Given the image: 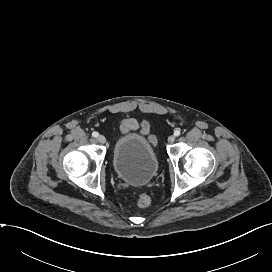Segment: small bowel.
<instances>
[{
    "instance_id": "small-bowel-1",
    "label": "small bowel",
    "mask_w": 272,
    "mask_h": 272,
    "mask_svg": "<svg viewBox=\"0 0 272 272\" xmlns=\"http://www.w3.org/2000/svg\"><path fill=\"white\" fill-rule=\"evenodd\" d=\"M136 130H139L142 134L149 136L152 141L154 140V138L149 134V124L146 121L128 118L123 120L120 124V131L122 134Z\"/></svg>"
}]
</instances>
